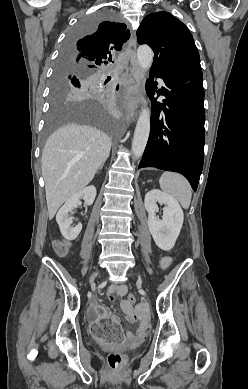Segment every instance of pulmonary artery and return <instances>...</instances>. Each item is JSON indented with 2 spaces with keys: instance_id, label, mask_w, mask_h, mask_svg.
Returning <instances> with one entry per match:
<instances>
[{
  "instance_id": "1",
  "label": "pulmonary artery",
  "mask_w": 248,
  "mask_h": 389,
  "mask_svg": "<svg viewBox=\"0 0 248 389\" xmlns=\"http://www.w3.org/2000/svg\"><path fill=\"white\" fill-rule=\"evenodd\" d=\"M158 83H161V79H157Z\"/></svg>"
}]
</instances>
